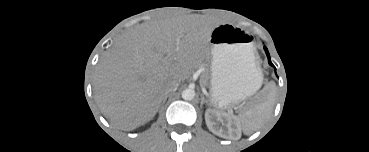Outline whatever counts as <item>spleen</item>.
I'll return each mask as SVG.
<instances>
[{"label": "spleen", "mask_w": 369, "mask_h": 152, "mask_svg": "<svg viewBox=\"0 0 369 152\" xmlns=\"http://www.w3.org/2000/svg\"><path fill=\"white\" fill-rule=\"evenodd\" d=\"M275 95V83L269 82L255 99L250 102L247 110L238 115V121L246 134L259 129L270 117L274 106Z\"/></svg>", "instance_id": "1"}]
</instances>
